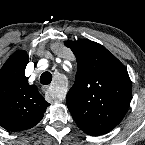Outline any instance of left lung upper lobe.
Returning <instances> with one entry per match:
<instances>
[{
	"label": "left lung upper lobe",
	"instance_id": "1",
	"mask_svg": "<svg viewBox=\"0 0 145 145\" xmlns=\"http://www.w3.org/2000/svg\"><path fill=\"white\" fill-rule=\"evenodd\" d=\"M76 56V81L66 102L81 130L98 136L114 129L131 100V81L124 65L90 40L65 41Z\"/></svg>",
	"mask_w": 145,
	"mask_h": 145
}]
</instances>
